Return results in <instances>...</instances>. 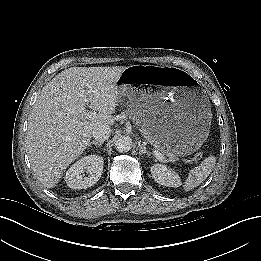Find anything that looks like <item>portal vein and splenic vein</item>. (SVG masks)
Returning <instances> with one entry per match:
<instances>
[{"label": "portal vein and splenic vein", "mask_w": 261, "mask_h": 261, "mask_svg": "<svg viewBox=\"0 0 261 261\" xmlns=\"http://www.w3.org/2000/svg\"><path fill=\"white\" fill-rule=\"evenodd\" d=\"M155 157L159 160V161H165V157L162 153H160L158 150H154L153 151Z\"/></svg>", "instance_id": "obj_1"}]
</instances>
